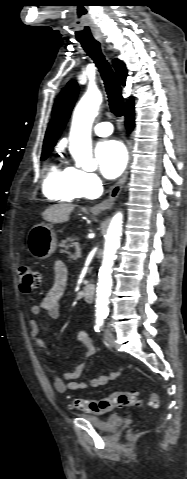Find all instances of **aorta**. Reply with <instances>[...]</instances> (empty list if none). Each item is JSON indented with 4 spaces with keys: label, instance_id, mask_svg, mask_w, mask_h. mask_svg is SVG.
Listing matches in <instances>:
<instances>
[{
    "label": "aorta",
    "instance_id": "obj_1",
    "mask_svg": "<svg viewBox=\"0 0 187 479\" xmlns=\"http://www.w3.org/2000/svg\"><path fill=\"white\" fill-rule=\"evenodd\" d=\"M102 102V95L97 88H89L77 104L70 130L69 150L77 167L91 172L97 169V162L92 158L91 128ZM123 215L118 212L112 218L106 235L102 266L99 270L97 286L96 312L106 315L109 312V296L112 287V266L116 260V251L122 235Z\"/></svg>",
    "mask_w": 187,
    "mask_h": 479
}]
</instances>
